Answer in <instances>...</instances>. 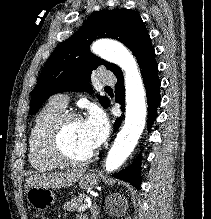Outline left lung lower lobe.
Returning <instances> with one entry per match:
<instances>
[{"label":"left lung lower lobe","mask_w":211,"mask_h":219,"mask_svg":"<svg viewBox=\"0 0 211 219\" xmlns=\"http://www.w3.org/2000/svg\"><path fill=\"white\" fill-rule=\"evenodd\" d=\"M138 61L139 67L141 69V74L144 80L146 96L148 102V121L147 127L150 129L152 123L156 119L157 107L160 103V80L158 77V65L155 60V51L151 43L150 36L146 38L141 47L135 54ZM117 77V84L115 86V101L121 104V110L124 111L125 103V93H124V79L122 71L119 70L115 73ZM122 122V118L116 119L114 124V131H116ZM140 156L134 160L132 165L127 169L115 173L114 176L121 180L127 181L134 185L136 188H140Z\"/></svg>","instance_id":"0a47b994"}]
</instances>
